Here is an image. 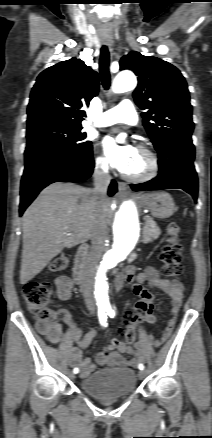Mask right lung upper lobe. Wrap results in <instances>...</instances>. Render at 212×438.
<instances>
[{
    "mask_svg": "<svg viewBox=\"0 0 212 438\" xmlns=\"http://www.w3.org/2000/svg\"><path fill=\"white\" fill-rule=\"evenodd\" d=\"M98 75L76 58L44 70L31 91L27 130L43 125L81 127V107L98 94Z\"/></svg>",
    "mask_w": 212,
    "mask_h": 438,
    "instance_id": "1",
    "label": "right lung upper lobe"
}]
</instances>
